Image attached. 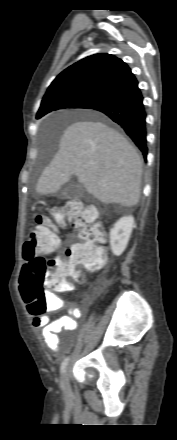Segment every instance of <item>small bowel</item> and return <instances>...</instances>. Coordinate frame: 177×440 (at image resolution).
I'll return each instance as SVG.
<instances>
[{"mask_svg": "<svg viewBox=\"0 0 177 440\" xmlns=\"http://www.w3.org/2000/svg\"><path fill=\"white\" fill-rule=\"evenodd\" d=\"M73 289L72 284H69L65 290L61 292L70 291ZM50 301L48 308L50 311H57L62 307V301L54 294H50ZM66 314L56 319H51L49 315L42 314L34 317L33 325L37 328H41L42 337L46 345L54 352H60L62 349V343L58 334L62 331L74 332L78 329L77 318L82 315L81 309L78 307L67 306L64 308ZM73 341V338H67L64 340V345H69Z\"/></svg>", "mask_w": 177, "mask_h": 440, "instance_id": "obj_1", "label": "small bowel"}]
</instances>
